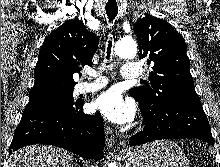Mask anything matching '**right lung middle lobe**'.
Segmentation results:
<instances>
[{
	"label": "right lung middle lobe",
	"instance_id": "1",
	"mask_svg": "<svg viewBox=\"0 0 220 167\" xmlns=\"http://www.w3.org/2000/svg\"><path fill=\"white\" fill-rule=\"evenodd\" d=\"M72 95H73V89L68 90V91H64V92H60V93H57V94H53V95H50V96H47V97H52V98L60 99V100L73 101V96ZM31 101H34V100H29V102H31Z\"/></svg>",
	"mask_w": 220,
	"mask_h": 167
}]
</instances>
